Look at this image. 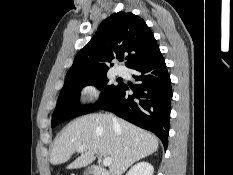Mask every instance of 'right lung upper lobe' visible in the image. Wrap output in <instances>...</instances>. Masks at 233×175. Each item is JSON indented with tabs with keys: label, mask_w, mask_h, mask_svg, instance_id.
<instances>
[{
	"label": "right lung upper lobe",
	"mask_w": 233,
	"mask_h": 175,
	"mask_svg": "<svg viewBox=\"0 0 233 175\" xmlns=\"http://www.w3.org/2000/svg\"><path fill=\"white\" fill-rule=\"evenodd\" d=\"M145 21L131 12H118L105 19L89 43L79 51L65 81L107 73V62L128 53L129 68L159 52Z\"/></svg>",
	"instance_id": "cb5924a9"
}]
</instances>
